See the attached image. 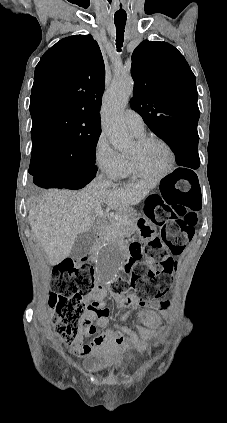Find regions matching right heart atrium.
Segmentation results:
<instances>
[{
	"mask_svg": "<svg viewBox=\"0 0 227 423\" xmlns=\"http://www.w3.org/2000/svg\"><path fill=\"white\" fill-rule=\"evenodd\" d=\"M94 160L97 167L111 179H120L125 176L124 156L113 149L103 131L98 134L95 141Z\"/></svg>",
	"mask_w": 227,
	"mask_h": 423,
	"instance_id": "1",
	"label": "right heart atrium"
}]
</instances>
